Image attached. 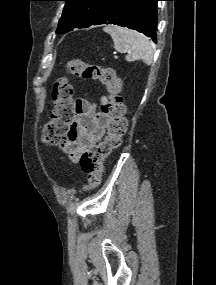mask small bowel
<instances>
[{
  "mask_svg": "<svg viewBox=\"0 0 216 285\" xmlns=\"http://www.w3.org/2000/svg\"><path fill=\"white\" fill-rule=\"evenodd\" d=\"M105 101L106 97L102 96L100 103ZM76 105L77 116L63 144V149L74 162L80 159L83 152L103 139L108 123L107 116L97 109L95 103L80 99Z\"/></svg>",
  "mask_w": 216,
  "mask_h": 285,
  "instance_id": "small-bowel-1",
  "label": "small bowel"
}]
</instances>
